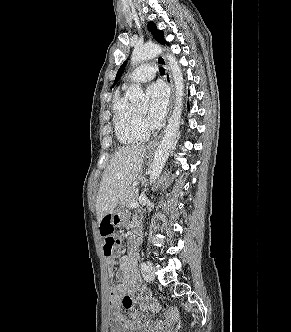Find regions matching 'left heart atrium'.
<instances>
[{"instance_id":"1","label":"left heart atrium","mask_w":291,"mask_h":332,"mask_svg":"<svg viewBox=\"0 0 291 332\" xmlns=\"http://www.w3.org/2000/svg\"><path fill=\"white\" fill-rule=\"evenodd\" d=\"M147 92L150 98L148 118L152 123H159L167 111L168 90L162 83H154L148 88Z\"/></svg>"}]
</instances>
